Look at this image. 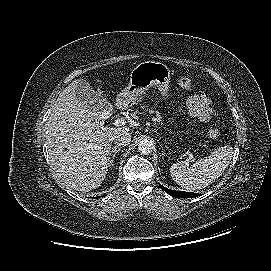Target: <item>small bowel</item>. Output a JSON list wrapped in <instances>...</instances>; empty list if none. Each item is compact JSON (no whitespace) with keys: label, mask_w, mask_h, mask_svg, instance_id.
Masks as SVG:
<instances>
[{"label":"small bowel","mask_w":271,"mask_h":271,"mask_svg":"<svg viewBox=\"0 0 271 271\" xmlns=\"http://www.w3.org/2000/svg\"><path fill=\"white\" fill-rule=\"evenodd\" d=\"M187 108L190 116L202 122L209 121L215 115L210 98L202 91L195 92L188 98Z\"/></svg>","instance_id":"small-bowel-1"}]
</instances>
